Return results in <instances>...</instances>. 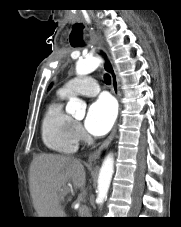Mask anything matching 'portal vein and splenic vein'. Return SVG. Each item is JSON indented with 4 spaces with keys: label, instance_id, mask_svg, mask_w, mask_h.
<instances>
[{
    "label": "portal vein and splenic vein",
    "instance_id": "18ae733b",
    "mask_svg": "<svg viewBox=\"0 0 181 227\" xmlns=\"http://www.w3.org/2000/svg\"><path fill=\"white\" fill-rule=\"evenodd\" d=\"M80 209L82 212H86L88 208L86 205H82V206H80Z\"/></svg>",
    "mask_w": 181,
    "mask_h": 227
}]
</instances>
